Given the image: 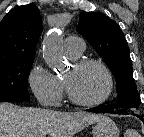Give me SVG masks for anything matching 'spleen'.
<instances>
[{
    "label": "spleen",
    "mask_w": 144,
    "mask_h": 137,
    "mask_svg": "<svg viewBox=\"0 0 144 137\" xmlns=\"http://www.w3.org/2000/svg\"><path fill=\"white\" fill-rule=\"evenodd\" d=\"M131 133L133 134V137H140V135H138V133H135L134 131H131Z\"/></svg>",
    "instance_id": "1"
}]
</instances>
